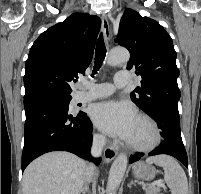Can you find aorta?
Here are the masks:
<instances>
[{
  "instance_id": "aorta-1",
  "label": "aorta",
  "mask_w": 201,
  "mask_h": 194,
  "mask_svg": "<svg viewBox=\"0 0 201 194\" xmlns=\"http://www.w3.org/2000/svg\"><path fill=\"white\" fill-rule=\"evenodd\" d=\"M130 59V54L125 48H113L107 57V64L110 66H116L119 64L127 63ZM128 164V158L125 154H120L114 160L108 176L107 192L109 194H115Z\"/></svg>"
}]
</instances>
